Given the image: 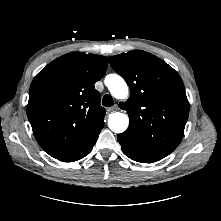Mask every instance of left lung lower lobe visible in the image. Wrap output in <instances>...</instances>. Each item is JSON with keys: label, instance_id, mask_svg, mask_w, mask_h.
I'll list each match as a JSON object with an SVG mask.
<instances>
[{"label": "left lung lower lobe", "instance_id": "obj_1", "mask_svg": "<svg viewBox=\"0 0 221 221\" xmlns=\"http://www.w3.org/2000/svg\"><path fill=\"white\" fill-rule=\"evenodd\" d=\"M117 138L122 147L123 153L134 161L141 163H153L165 157L142 148L132 140L126 131L118 134Z\"/></svg>", "mask_w": 221, "mask_h": 221}]
</instances>
